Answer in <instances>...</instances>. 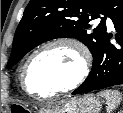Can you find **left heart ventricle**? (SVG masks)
I'll return each instance as SVG.
<instances>
[{
  "label": "left heart ventricle",
  "instance_id": "obj_1",
  "mask_svg": "<svg viewBox=\"0 0 123 113\" xmlns=\"http://www.w3.org/2000/svg\"><path fill=\"white\" fill-rule=\"evenodd\" d=\"M79 57L65 45L51 47L39 53L30 63L26 83L30 92L48 94L73 80L79 72Z\"/></svg>",
  "mask_w": 123,
  "mask_h": 113
}]
</instances>
